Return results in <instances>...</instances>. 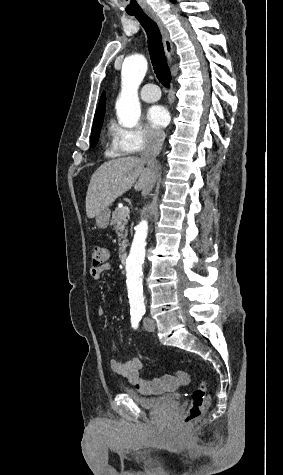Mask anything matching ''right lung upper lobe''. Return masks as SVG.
Instances as JSON below:
<instances>
[{
  "label": "right lung upper lobe",
  "instance_id": "obj_1",
  "mask_svg": "<svg viewBox=\"0 0 283 475\" xmlns=\"http://www.w3.org/2000/svg\"><path fill=\"white\" fill-rule=\"evenodd\" d=\"M105 102H106V95H105V92H103L102 95H101L98 107L102 106V105H105Z\"/></svg>",
  "mask_w": 283,
  "mask_h": 475
}]
</instances>
